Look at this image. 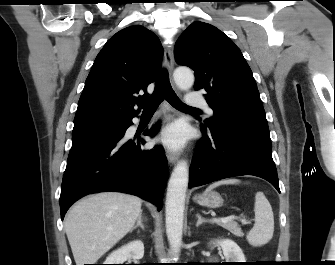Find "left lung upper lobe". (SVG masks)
Returning a JSON list of instances; mask_svg holds the SVG:
<instances>
[{
  "label": "left lung upper lobe",
  "instance_id": "5c2ea615",
  "mask_svg": "<svg viewBox=\"0 0 335 265\" xmlns=\"http://www.w3.org/2000/svg\"><path fill=\"white\" fill-rule=\"evenodd\" d=\"M179 65L195 72L194 89H204L213 117L203 130L217 126L239 129L270 139L268 123L252 71L239 48L208 23L193 22L175 45Z\"/></svg>",
  "mask_w": 335,
  "mask_h": 265
}]
</instances>
